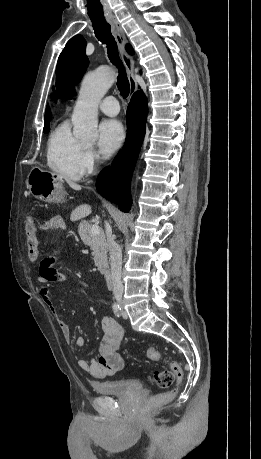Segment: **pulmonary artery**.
Segmentation results:
<instances>
[{"mask_svg": "<svg viewBox=\"0 0 261 459\" xmlns=\"http://www.w3.org/2000/svg\"><path fill=\"white\" fill-rule=\"evenodd\" d=\"M99 110L108 116H116L119 113L118 100L113 96H107L99 104Z\"/></svg>", "mask_w": 261, "mask_h": 459, "instance_id": "e3ab8cb5", "label": "pulmonary artery"}]
</instances>
